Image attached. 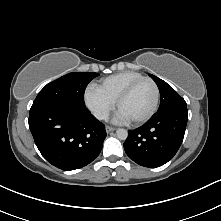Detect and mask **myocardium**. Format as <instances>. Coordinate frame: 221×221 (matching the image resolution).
Returning a JSON list of instances; mask_svg holds the SVG:
<instances>
[{
  "label": "myocardium",
  "mask_w": 221,
  "mask_h": 221,
  "mask_svg": "<svg viewBox=\"0 0 221 221\" xmlns=\"http://www.w3.org/2000/svg\"><path fill=\"white\" fill-rule=\"evenodd\" d=\"M144 81H148V82H150L153 85L154 91H155V98H154V102H153L152 108L150 109V111L146 115H144L143 117H141L139 119L130 121V123L133 124V125H140V124H143V123L147 122L156 113V111L158 109V105H159V99H160V90H159V87H158L157 83L152 78H150V77L139 78V79L133 81L132 83H130L122 91V93L119 95V97L116 100V106L119 109L121 104L130 96V94L133 92V90L140 83H142Z\"/></svg>",
  "instance_id": "f54148a6"
}]
</instances>
